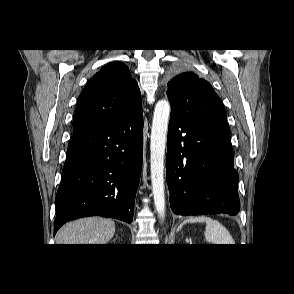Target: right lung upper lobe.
Here are the masks:
<instances>
[{
    "instance_id": "right-lung-upper-lobe-1",
    "label": "right lung upper lobe",
    "mask_w": 294,
    "mask_h": 294,
    "mask_svg": "<svg viewBox=\"0 0 294 294\" xmlns=\"http://www.w3.org/2000/svg\"><path fill=\"white\" fill-rule=\"evenodd\" d=\"M142 105L140 90L127 66L113 62L87 83L77 102L73 131L104 125Z\"/></svg>"
}]
</instances>
